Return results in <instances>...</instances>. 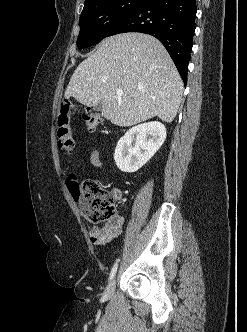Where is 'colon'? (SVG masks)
Here are the masks:
<instances>
[{"label":"colon","mask_w":247,"mask_h":332,"mask_svg":"<svg viewBox=\"0 0 247 332\" xmlns=\"http://www.w3.org/2000/svg\"><path fill=\"white\" fill-rule=\"evenodd\" d=\"M73 105L65 100L61 103L57 118V139L59 148L67 153L75 149L71 117ZM83 120L88 131L94 132L102 122L101 116L91 110L83 112ZM68 189L77 203L82 215L92 223H101L115 216L114 195L96 179L78 181L71 176L67 181Z\"/></svg>","instance_id":"colon-1"}]
</instances>
